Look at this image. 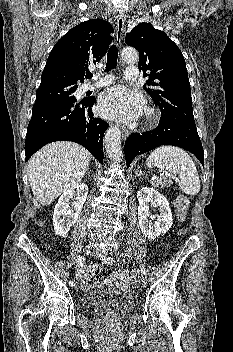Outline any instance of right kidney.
<instances>
[{"label":"right kidney","mask_w":233,"mask_h":352,"mask_svg":"<svg viewBox=\"0 0 233 352\" xmlns=\"http://www.w3.org/2000/svg\"><path fill=\"white\" fill-rule=\"evenodd\" d=\"M88 186L77 183L65 191L54 208L53 225L56 235L65 237L76 223L87 198ZM74 198L70 206L69 200Z\"/></svg>","instance_id":"right-kidney-1"}]
</instances>
